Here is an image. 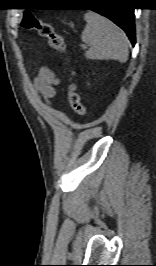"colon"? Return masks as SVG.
I'll return each mask as SVG.
<instances>
[{
  "label": "colon",
  "instance_id": "5ec220e1",
  "mask_svg": "<svg viewBox=\"0 0 156 266\" xmlns=\"http://www.w3.org/2000/svg\"><path fill=\"white\" fill-rule=\"evenodd\" d=\"M21 25L27 30H34L39 36L45 38L49 45L56 51L65 53L67 46L63 36L56 33L54 27L50 23L43 22L37 18L32 12H26L21 20ZM74 73H70V83L68 85V101L74 111L80 117L85 116L86 108L81 102V98L77 91V86L73 81Z\"/></svg>",
  "mask_w": 156,
  "mask_h": 266
}]
</instances>
